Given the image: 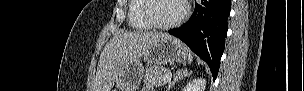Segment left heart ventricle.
I'll use <instances>...</instances> for the list:
<instances>
[{
  "label": "left heart ventricle",
  "mask_w": 304,
  "mask_h": 91,
  "mask_svg": "<svg viewBox=\"0 0 304 91\" xmlns=\"http://www.w3.org/2000/svg\"><path fill=\"white\" fill-rule=\"evenodd\" d=\"M183 11L180 0H155L152 3V15L159 23H169L178 18Z\"/></svg>",
  "instance_id": "1"
}]
</instances>
